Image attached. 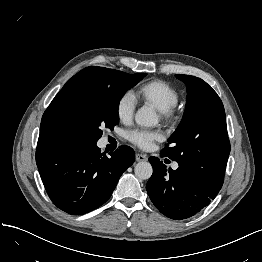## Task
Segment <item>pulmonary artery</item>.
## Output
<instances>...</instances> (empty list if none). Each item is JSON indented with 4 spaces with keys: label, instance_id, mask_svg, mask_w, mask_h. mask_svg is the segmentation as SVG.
Instances as JSON below:
<instances>
[{
    "label": "pulmonary artery",
    "instance_id": "obj_1",
    "mask_svg": "<svg viewBox=\"0 0 262 262\" xmlns=\"http://www.w3.org/2000/svg\"><path fill=\"white\" fill-rule=\"evenodd\" d=\"M172 168H173V169H177V168H178V164H177V163H174V164L172 165Z\"/></svg>",
    "mask_w": 262,
    "mask_h": 262
}]
</instances>
